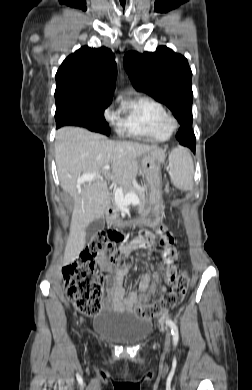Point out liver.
I'll return each mask as SVG.
<instances>
[{
	"label": "liver",
	"mask_w": 252,
	"mask_h": 390,
	"mask_svg": "<svg viewBox=\"0 0 252 390\" xmlns=\"http://www.w3.org/2000/svg\"><path fill=\"white\" fill-rule=\"evenodd\" d=\"M160 150L134 142H115L79 127H63L56 133L55 158L62 189L74 200L64 265L72 263L86 243V228L104 216L110 196L104 178L115 179L130 188L140 171L137 158ZM109 166L108 170H104ZM97 173L91 182L78 183L83 175Z\"/></svg>",
	"instance_id": "6515ba94"
}]
</instances>
